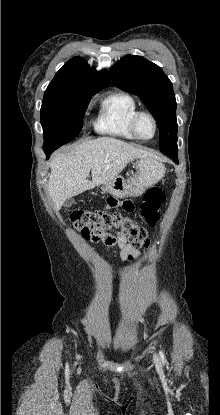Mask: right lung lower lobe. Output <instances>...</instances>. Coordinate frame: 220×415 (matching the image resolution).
<instances>
[{"label":"right lung lower lobe","mask_w":220,"mask_h":415,"mask_svg":"<svg viewBox=\"0 0 220 415\" xmlns=\"http://www.w3.org/2000/svg\"><path fill=\"white\" fill-rule=\"evenodd\" d=\"M54 150H55V149H53V148H50V149H44V152H45V154H46L47 158L50 156V154H51Z\"/></svg>","instance_id":"1"}]
</instances>
